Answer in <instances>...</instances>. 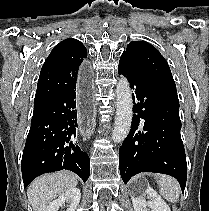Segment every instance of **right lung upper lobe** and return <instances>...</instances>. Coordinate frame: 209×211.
I'll use <instances>...</instances> for the list:
<instances>
[{"label": "right lung upper lobe", "mask_w": 209, "mask_h": 211, "mask_svg": "<svg viewBox=\"0 0 209 211\" xmlns=\"http://www.w3.org/2000/svg\"><path fill=\"white\" fill-rule=\"evenodd\" d=\"M87 49L76 39L57 44L42 66L34 99V111L76 87L78 70Z\"/></svg>", "instance_id": "1"}]
</instances>
